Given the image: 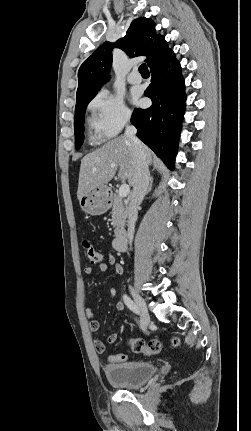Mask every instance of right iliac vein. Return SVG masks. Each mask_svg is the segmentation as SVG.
Instances as JSON below:
<instances>
[{
  "mask_svg": "<svg viewBox=\"0 0 251 431\" xmlns=\"http://www.w3.org/2000/svg\"><path fill=\"white\" fill-rule=\"evenodd\" d=\"M130 291L137 307L140 310L142 326L144 329H146L150 323V315H149L146 303L144 299L132 287H130Z\"/></svg>",
  "mask_w": 251,
  "mask_h": 431,
  "instance_id": "obj_1",
  "label": "right iliac vein"
}]
</instances>
